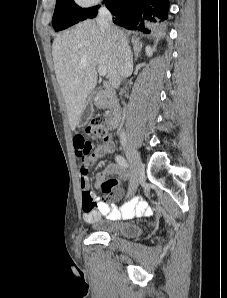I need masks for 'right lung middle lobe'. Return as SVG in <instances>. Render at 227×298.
<instances>
[{"instance_id": "obj_1", "label": "right lung middle lobe", "mask_w": 227, "mask_h": 298, "mask_svg": "<svg viewBox=\"0 0 227 298\" xmlns=\"http://www.w3.org/2000/svg\"><path fill=\"white\" fill-rule=\"evenodd\" d=\"M97 9L98 6L82 9L74 0H57L52 19L53 27L56 31L66 29L80 20L87 19Z\"/></svg>"}]
</instances>
